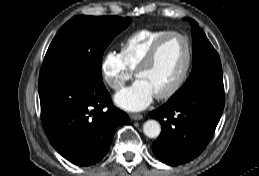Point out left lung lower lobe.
<instances>
[{
  "mask_svg": "<svg viewBox=\"0 0 259 176\" xmlns=\"http://www.w3.org/2000/svg\"><path fill=\"white\" fill-rule=\"evenodd\" d=\"M224 102V92L201 89L150 112L162 127L152 145L155 156L168 165H180L196 158L212 138Z\"/></svg>",
  "mask_w": 259,
  "mask_h": 176,
  "instance_id": "1",
  "label": "left lung lower lobe"
}]
</instances>
